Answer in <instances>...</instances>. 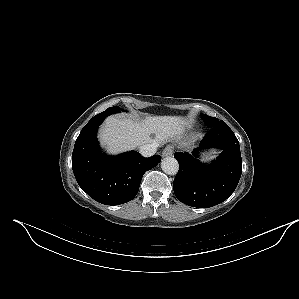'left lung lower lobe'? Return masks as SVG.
I'll list each match as a JSON object with an SVG mask.
<instances>
[{
	"label": "left lung lower lobe",
	"instance_id": "0a47b994",
	"mask_svg": "<svg viewBox=\"0 0 299 299\" xmlns=\"http://www.w3.org/2000/svg\"><path fill=\"white\" fill-rule=\"evenodd\" d=\"M210 147L221 148L223 152L207 167L197 158L199 151ZM174 157L179 163L173 182L174 193L188 206L208 208L220 204L234 192L241 177L239 141L225 123L210 128L192 154L176 152Z\"/></svg>",
	"mask_w": 299,
	"mask_h": 299
}]
</instances>
